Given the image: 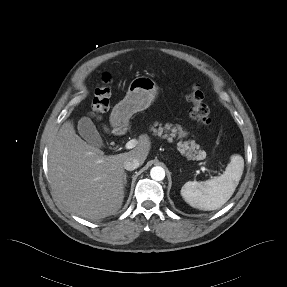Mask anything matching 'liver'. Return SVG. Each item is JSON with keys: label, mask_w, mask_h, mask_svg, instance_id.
<instances>
[{"label": "liver", "mask_w": 287, "mask_h": 287, "mask_svg": "<svg viewBox=\"0 0 287 287\" xmlns=\"http://www.w3.org/2000/svg\"><path fill=\"white\" fill-rule=\"evenodd\" d=\"M150 148L149 137L141 135L133 150L106 156L82 140L73 123L66 121L49 148L51 187L61 202L82 218L99 220L113 215L124 199L123 162L133 157L144 163Z\"/></svg>", "instance_id": "6515ba94"}]
</instances>
